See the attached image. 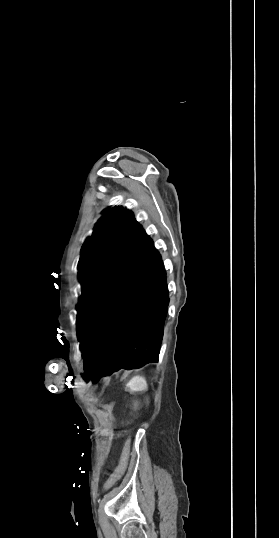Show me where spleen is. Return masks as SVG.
Masks as SVG:
<instances>
[{"label": "spleen", "instance_id": "spleen-1", "mask_svg": "<svg viewBox=\"0 0 279 538\" xmlns=\"http://www.w3.org/2000/svg\"><path fill=\"white\" fill-rule=\"evenodd\" d=\"M148 380L145 379H131L129 380V392L131 394H143L147 392L145 386H147Z\"/></svg>", "mask_w": 279, "mask_h": 538}]
</instances>
